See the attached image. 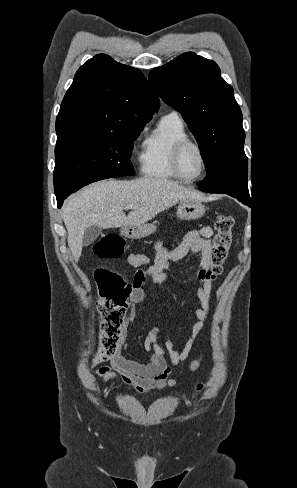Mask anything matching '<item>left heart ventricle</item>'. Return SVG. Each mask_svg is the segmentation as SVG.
I'll return each instance as SVG.
<instances>
[{"label":"left heart ventricle","instance_id":"b2bd125f","mask_svg":"<svg viewBox=\"0 0 297 488\" xmlns=\"http://www.w3.org/2000/svg\"><path fill=\"white\" fill-rule=\"evenodd\" d=\"M202 168L201 156L193 146H187L180 157V169L187 177L196 176Z\"/></svg>","mask_w":297,"mask_h":488}]
</instances>
